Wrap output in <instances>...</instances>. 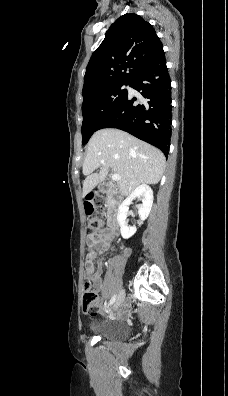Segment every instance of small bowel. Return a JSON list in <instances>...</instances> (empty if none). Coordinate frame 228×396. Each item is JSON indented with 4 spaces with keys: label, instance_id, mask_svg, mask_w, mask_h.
<instances>
[{
    "label": "small bowel",
    "instance_id": "c3829d8e",
    "mask_svg": "<svg viewBox=\"0 0 228 396\" xmlns=\"http://www.w3.org/2000/svg\"><path fill=\"white\" fill-rule=\"evenodd\" d=\"M116 233L114 230H100L95 234V239H88V252L85 260V276L91 278L96 292H101L103 289L102 282V268L95 270L94 259L98 254H102L111 248V242L115 238ZM125 314L122 311L119 316Z\"/></svg>",
    "mask_w": 228,
    "mask_h": 396
}]
</instances>
